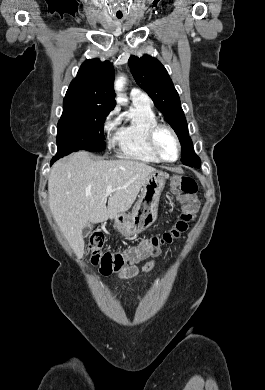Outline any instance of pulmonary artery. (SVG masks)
Masks as SVG:
<instances>
[{
  "mask_svg": "<svg viewBox=\"0 0 265 390\" xmlns=\"http://www.w3.org/2000/svg\"><path fill=\"white\" fill-rule=\"evenodd\" d=\"M130 97L134 103L150 104L149 98L138 89H132Z\"/></svg>",
  "mask_w": 265,
  "mask_h": 390,
  "instance_id": "1",
  "label": "pulmonary artery"
}]
</instances>
